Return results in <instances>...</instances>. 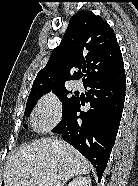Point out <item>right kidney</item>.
<instances>
[{"label":"right kidney","mask_w":138,"mask_h":186,"mask_svg":"<svg viewBox=\"0 0 138 186\" xmlns=\"http://www.w3.org/2000/svg\"><path fill=\"white\" fill-rule=\"evenodd\" d=\"M67 186H92L88 177H77L73 179Z\"/></svg>","instance_id":"right-kidney-1"}]
</instances>
